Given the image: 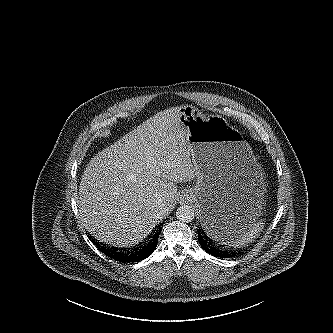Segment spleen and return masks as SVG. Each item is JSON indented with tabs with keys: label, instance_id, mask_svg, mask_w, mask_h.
I'll use <instances>...</instances> for the list:
<instances>
[{
	"label": "spleen",
	"instance_id": "1",
	"mask_svg": "<svg viewBox=\"0 0 333 333\" xmlns=\"http://www.w3.org/2000/svg\"><path fill=\"white\" fill-rule=\"evenodd\" d=\"M261 224L256 223L249 229H241L236 231H230L227 234L228 240L232 245H243L251 242L259 233Z\"/></svg>",
	"mask_w": 333,
	"mask_h": 333
}]
</instances>
